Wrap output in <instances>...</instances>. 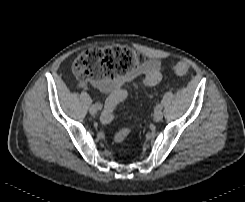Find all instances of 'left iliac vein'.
Masks as SVG:
<instances>
[{
  "label": "left iliac vein",
  "mask_w": 245,
  "mask_h": 202,
  "mask_svg": "<svg viewBox=\"0 0 245 202\" xmlns=\"http://www.w3.org/2000/svg\"><path fill=\"white\" fill-rule=\"evenodd\" d=\"M162 118H163V113L161 112V110L155 111V113H154V120L156 122H159V121L162 120Z\"/></svg>",
  "instance_id": "obj_1"
}]
</instances>
